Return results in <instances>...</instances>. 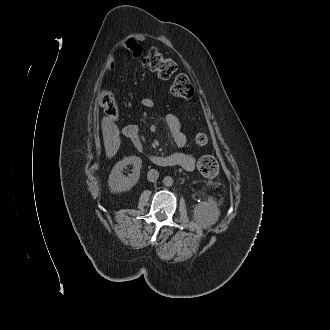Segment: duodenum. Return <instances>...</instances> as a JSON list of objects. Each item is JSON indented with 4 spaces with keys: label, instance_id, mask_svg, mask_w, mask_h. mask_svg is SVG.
<instances>
[{
    "label": "duodenum",
    "instance_id": "1",
    "mask_svg": "<svg viewBox=\"0 0 330 330\" xmlns=\"http://www.w3.org/2000/svg\"><path fill=\"white\" fill-rule=\"evenodd\" d=\"M130 129H131L130 126L125 128V136L129 139L137 140L138 132L136 130L131 131L130 133H126L129 132ZM152 161L158 165L171 166L170 161L166 156H158V155L152 156Z\"/></svg>",
    "mask_w": 330,
    "mask_h": 330
}]
</instances>
